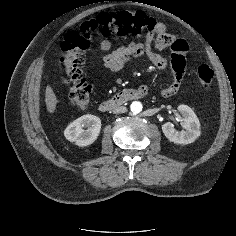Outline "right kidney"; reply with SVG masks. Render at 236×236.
Masks as SVG:
<instances>
[{"label":"right kidney","instance_id":"ca27d5eb","mask_svg":"<svg viewBox=\"0 0 236 236\" xmlns=\"http://www.w3.org/2000/svg\"><path fill=\"white\" fill-rule=\"evenodd\" d=\"M84 128H86L84 130ZM101 120L91 114L83 115L70 123L64 131L65 138L80 147L92 144L99 136Z\"/></svg>","mask_w":236,"mask_h":236}]
</instances>
